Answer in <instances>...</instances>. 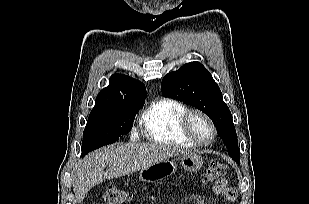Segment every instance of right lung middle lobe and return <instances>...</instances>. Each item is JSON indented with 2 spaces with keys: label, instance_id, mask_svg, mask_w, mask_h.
Returning a JSON list of instances; mask_svg holds the SVG:
<instances>
[{
  "label": "right lung middle lobe",
  "instance_id": "obj_1",
  "mask_svg": "<svg viewBox=\"0 0 309 204\" xmlns=\"http://www.w3.org/2000/svg\"><path fill=\"white\" fill-rule=\"evenodd\" d=\"M144 103L145 98L95 105L83 133L82 155L111 144L122 134H127Z\"/></svg>",
  "mask_w": 309,
  "mask_h": 204
}]
</instances>
